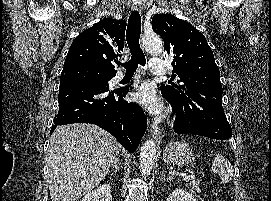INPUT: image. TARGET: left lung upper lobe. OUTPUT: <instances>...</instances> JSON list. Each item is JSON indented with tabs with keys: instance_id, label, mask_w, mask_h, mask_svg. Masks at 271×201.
<instances>
[{
	"instance_id": "1",
	"label": "left lung upper lobe",
	"mask_w": 271,
	"mask_h": 201,
	"mask_svg": "<svg viewBox=\"0 0 271 201\" xmlns=\"http://www.w3.org/2000/svg\"><path fill=\"white\" fill-rule=\"evenodd\" d=\"M152 29L164 40L178 85L162 86L177 120L213 139H228L232 129L222 107L220 71L206 38L188 22L167 14L152 18Z\"/></svg>"
}]
</instances>
